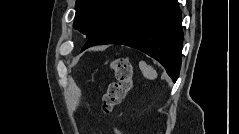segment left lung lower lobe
Wrapping results in <instances>:
<instances>
[{"instance_id": "obj_1", "label": "left lung lower lobe", "mask_w": 239, "mask_h": 134, "mask_svg": "<svg viewBox=\"0 0 239 134\" xmlns=\"http://www.w3.org/2000/svg\"><path fill=\"white\" fill-rule=\"evenodd\" d=\"M181 20L177 0H123L82 51L102 44L130 46L160 62L175 82L181 67Z\"/></svg>"}]
</instances>
